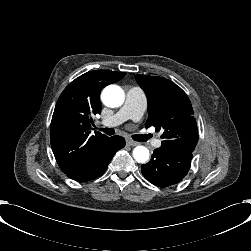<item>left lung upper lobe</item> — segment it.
I'll return each instance as SVG.
<instances>
[{"label":"left lung upper lobe","mask_w":251,"mask_h":251,"mask_svg":"<svg viewBox=\"0 0 251 251\" xmlns=\"http://www.w3.org/2000/svg\"><path fill=\"white\" fill-rule=\"evenodd\" d=\"M148 97L146 128L160 130L162 148L193 153L198 142V128L186 93L172 81L155 76L135 75Z\"/></svg>","instance_id":"left-lung-upper-lobe-1"}]
</instances>
